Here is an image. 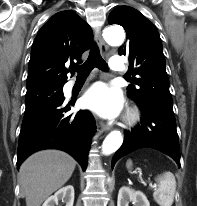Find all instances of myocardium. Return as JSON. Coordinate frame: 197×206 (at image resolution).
<instances>
[{
	"label": "myocardium",
	"mask_w": 197,
	"mask_h": 206,
	"mask_svg": "<svg viewBox=\"0 0 197 206\" xmlns=\"http://www.w3.org/2000/svg\"><path fill=\"white\" fill-rule=\"evenodd\" d=\"M138 119H139V114L137 113V111L130 110L127 113L126 121L128 124H130V125L135 124L138 121Z\"/></svg>",
	"instance_id": "obj_1"
}]
</instances>
